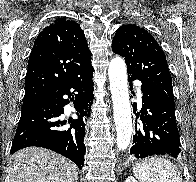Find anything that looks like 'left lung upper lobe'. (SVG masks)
Returning a JSON list of instances; mask_svg holds the SVG:
<instances>
[{
	"mask_svg": "<svg viewBox=\"0 0 196 182\" xmlns=\"http://www.w3.org/2000/svg\"><path fill=\"white\" fill-rule=\"evenodd\" d=\"M112 50L124 57L127 72L159 93L174 106L171 74L166 56L154 37L135 24L119 27L112 42Z\"/></svg>",
	"mask_w": 196,
	"mask_h": 182,
	"instance_id": "left-lung-upper-lobe-1",
	"label": "left lung upper lobe"
}]
</instances>
